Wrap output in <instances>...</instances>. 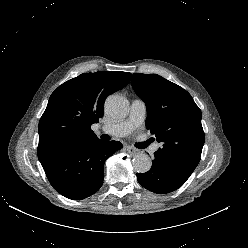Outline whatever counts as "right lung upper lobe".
Listing matches in <instances>:
<instances>
[{"instance_id":"obj_1","label":"right lung upper lobe","mask_w":248,"mask_h":248,"mask_svg":"<svg viewBox=\"0 0 248 248\" xmlns=\"http://www.w3.org/2000/svg\"><path fill=\"white\" fill-rule=\"evenodd\" d=\"M131 73H84L60 85L50 96L39 122L38 158L45 163L78 139L96 137L91 125L103 116L105 98L125 87Z\"/></svg>"}]
</instances>
